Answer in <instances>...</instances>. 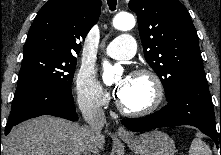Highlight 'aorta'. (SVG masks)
<instances>
[{
    "mask_svg": "<svg viewBox=\"0 0 221 155\" xmlns=\"http://www.w3.org/2000/svg\"><path fill=\"white\" fill-rule=\"evenodd\" d=\"M114 28L121 31L131 30L135 26V19L130 14H118L113 19ZM103 81L104 83L113 82L115 75L119 72V66H112L108 61L103 62Z\"/></svg>",
    "mask_w": 221,
    "mask_h": 155,
    "instance_id": "aorta-1",
    "label": "aorta"
}]
</instances>
